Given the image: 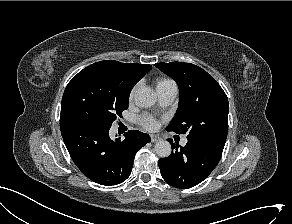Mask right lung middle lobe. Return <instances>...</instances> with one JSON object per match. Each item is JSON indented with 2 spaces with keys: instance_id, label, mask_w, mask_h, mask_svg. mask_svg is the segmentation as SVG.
Listing matches in <instances>:
<instances>
[{
  "instance_id": "obj_1",
  "label": "right lung middle lobe",
  "mask_w": 292,
  "mask_h": 224,
  "mask_svg": "<svg viewBox=\"0 0 292 224\" xmlns=\"http://www.w3.org/2000/svg\"><path fill=\"white\" fill-rule=\"evenodd\" d=\"M131 89L115 67L104 62L91 64L68 83L62 98L60 122L80 120L110 129L128 108Z\"/></svg>"
}]
</instances>
